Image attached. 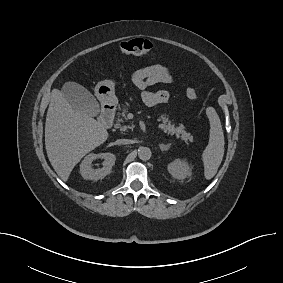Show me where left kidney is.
I'll return each instance as SVG.
<instances>
[{
  "label": "left kidney",
  "mask_w": 283,
  "mask_h": 283,
  "mask_svg": "<svg viewBox=\"0 0 283 283\" xmlns=\"http://www.w3.org/2000/svg\"><path fill=\"white\" fill-rule=\"evenodd\" d=\"M169 173L178 180H183L192 175L191 167L185 161L176 159L168 164L167 167Z\"/></svg>",
  "instance_id": "left-kidney-1"
}]
</instances>
